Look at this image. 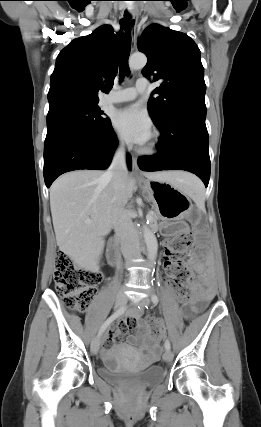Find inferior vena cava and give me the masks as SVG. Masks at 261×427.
<instances>
[{"label":"inferior vena cava","mask_w":261,"mask_h":427,"mask_svg":"<svg viewBox=\"0 0 261 427\" xmlns=\"http://www.w3.org/2000/svg\"><path fill=\"white\" fill-rule=\"evenodd\" d=\"M111 179L115 190L114 200L116 207L113 213V225L121 242V251L127 263L131 262L138 254V234L128 215L125 204L127 198L124 195L128 176L126 153L123 144L115 151L112 162L105 173Z\"/></svg>","instance_id":"obj_1"}]
</instances>
